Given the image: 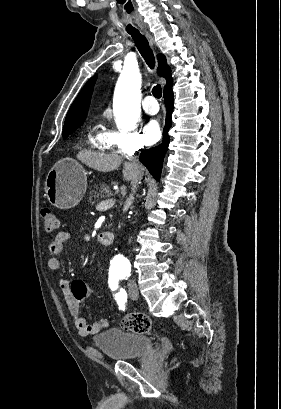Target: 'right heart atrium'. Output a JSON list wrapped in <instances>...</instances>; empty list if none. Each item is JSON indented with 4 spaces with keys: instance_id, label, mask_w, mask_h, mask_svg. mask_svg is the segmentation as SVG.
Instances as JSON below:
<instances>
[{
    "instance_id": "right-heart-atrium-1",
    "label": "right heart atrium",
    "mask_w": 281,
    "mask_h": 409,
    "mask_svg": "<svg viewBox=\"0 0 281 409\" xmlns=\"http://www.w3.org/2000/svg\"><path fill=\"white\" fill-rule=\"evenodd\" d=\"M125 118L121 130L109 131L113 147L125 151H138L145 146V142L138 131L140 115H122Z\"/></svg>"
}]
</instances>
